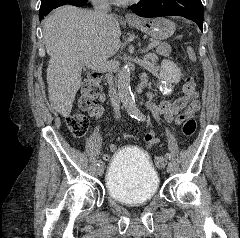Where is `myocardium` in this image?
<instances>
[{"label":"myocardium","mask_w":240,"mask_h":238,"mask_svg":"<svg viewBox=\"0 0 240 238\" xmlns=\"http://www.w3.org/2000/svg\"><path fill=\"white\" fill-rule=\"evenodd\" d=\"M140 0H122V3H136L139 2Z\"/></svg>","instance_id":"f54148a6"}]
</instances>
